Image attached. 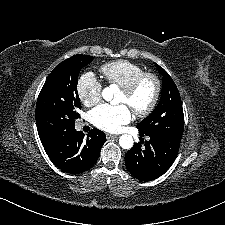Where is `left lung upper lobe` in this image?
<instances>
[{"mask_svg":"<svg viewBox=\"0 0 225 225\" xmlns=\"http://www.w3.org/2000/svg\"><path fill=\"white\" fill-rule=\"evenodd\" d=\"M156 66L163 75L161 99L155 110L137 124V128L143 134H167L181 139L184 114L179 91L170 75L161 66Z\"/></svg>","mask_w":225,"mask_h":225,"instance_id":"obj_1","label":"left lung upper lobe"}]
</instances>
